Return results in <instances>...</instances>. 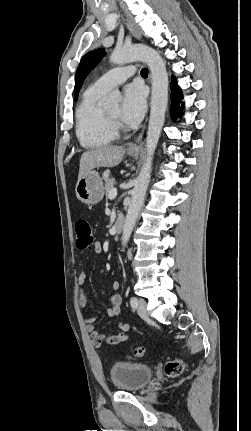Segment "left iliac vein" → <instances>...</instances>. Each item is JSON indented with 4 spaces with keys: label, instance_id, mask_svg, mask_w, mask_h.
<instances>
[{
    "label": "left iliac vein",
    "instance_id": "obj_1",
    "mask_svg": "<svg viewBox=\"0 0 251 431\" xmlns=\"http://www.w3.org/2000/svg\"><path fill=\"white\" fill-rule=\"evenodd\" d=\"M146 308H147L146 301L143 299H138L137 300V313L139 314L140 317H142V318L148 317V312H147Z\"/></svg>",
    "mask_w": 251,
    "mask_h": 431
}]
</instances>
